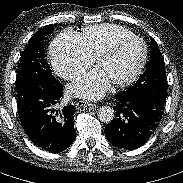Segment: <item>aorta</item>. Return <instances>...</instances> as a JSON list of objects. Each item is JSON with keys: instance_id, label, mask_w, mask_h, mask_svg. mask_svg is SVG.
I'll list each match as a JSON object with an SVG mask.
<instances>
[{"instance_id": "762f6f07", "label": "aorta", "mask_w": 183, "mask_h": 183, "mask_svg": "<svg viewBox=\"0 0 183 183\" xmlns=\"http://www.w3.org/2000/svg\"><path fill=\"white\" fill-rule=\"evenodd\" d=\"M98 118L102 122L109 123L114 119V110L109 106H103L98 110Z\"/></svg>"}]
</instances>
